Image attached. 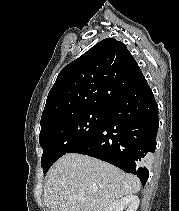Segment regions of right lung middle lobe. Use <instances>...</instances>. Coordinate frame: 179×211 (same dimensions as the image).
<instances>
[{
  "instance_id": "right-lung-middle-lobe-1",
  "label": "right lung middle lobe",
  "mask_w": 179,
  "mask_h": 211,
  "mask_svg": "<svg viewBox=\"0 0 179 211\" xmlns=\"http://www.w3.org/2000/svg\"><path fill=\"white\" fill-rule=\"evenodd\" d=\"M107 113L108 108L86 109L60 117L41 128L39 142L44 151L41 158L44 174L58 158L89 141Z\"/></svg>"
}]
</instances>
